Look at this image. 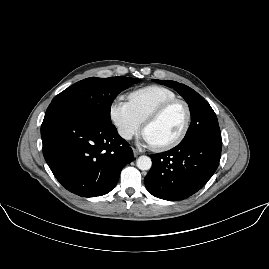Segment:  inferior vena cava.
Returning a JSON list of instances; mask_svg holds the SVG:
<instances>
[{
    "label": "inferior vena cava",
    "mask_w": 269,
    "mask_h": 269,
    "mask_svg": "<svg viewBox=\"0 0 269 269\" xmlns=\"http://www.w3.org/2000/svg\"><path fill=\"white\" fill-rule=\"evenodd\" d=\"M118 132H119L120 136L126 140H131L133 137V134L130 131H128V132L118 131Z\"/></svg>",
    "instance_id": "obj_1"
}]
</instances>
